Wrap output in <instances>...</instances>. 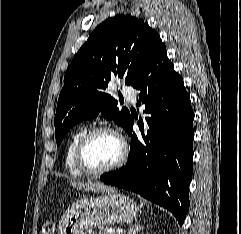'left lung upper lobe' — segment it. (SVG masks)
<instances>
[{
    "instance_id": "5c2ea615",
    "label": "left lung upper lobe",
    "mask_w": 241,
    "mask_h": 234,
    "mask_svg": "<svg viewBox=\"0 0 241 234\" xmlns=\"http://www.w3.org/2000/svg\"><path fill=\"white\" fill-rule=\"evenodd\" d=\"M159 34L142 19L117 15L102 22L74 56L64 76L54 118L57 146L78 122L101 114L124 129L128 109L105 92L114 78L133 85L164 48Z\"/></svg>"
}]
</instances>
